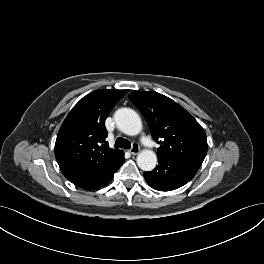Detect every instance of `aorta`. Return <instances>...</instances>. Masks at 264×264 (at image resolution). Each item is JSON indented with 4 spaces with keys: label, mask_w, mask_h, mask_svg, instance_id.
<instances>
[{
    "label": "aorta",
    "mask_w": 264,
    "mask_h": 264,
    "mask_svg": "<svg viewBox=\"0 0 264 264\" xmlns=\"http://www.w3.org/2000/svg\"><path fill=\"white\" fill-rule=\"evenodd\" d=\"M117 127L127 135H137L142 129L139 115L130 108H120L114 114ZM157 164V156L152 150H143L137 156V165L143 171H151Z\"/></svg>",
    "instance_id": "aorta-1"
}]
</instances>
